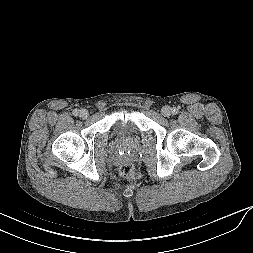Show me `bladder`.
Instances as JSON below:
<instances>
[{
    "mask_svg": "<svg viewBox=\"0 0 253 253\" xmlns=\"http://www.w3.org/2000/svg\"><path fill=\"white\" fill-rule=\"evenodd\" d=\"M112 130L119 136L132 134L137 130L136 119L131 113H128L126 117H118L113 122Z\"/></svg>",
    "mask_w": 253,
    "mask_h": 253,
    "instance_id": "bladder-1",
    "label": "bladder"
}]
</instances>
